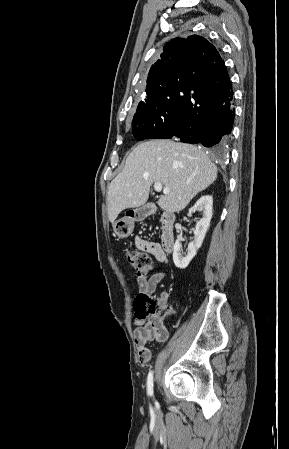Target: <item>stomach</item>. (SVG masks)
I'll return each instance as SVG.
<instances>
[{"instance_id":"1","label":"stomach","mask_w":289,"mask_h":449,"mask_svg":"<svg viewBox=\"0 0 289 449\" xmlns=\"http://www.w3.org/2000/svg\"><path fill=\"white\" fill-rule=\"evenodd\" d=\"M134 220L128 216L118 219L113 224L115 234L121 239L127 238L133 232Z\"/></svg>"}]
</instances>
